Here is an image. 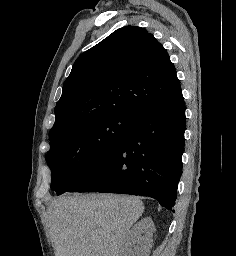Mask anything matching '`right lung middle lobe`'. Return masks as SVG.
Wrapping results in <instances>:
<instances>
[{
	"label": "right lung middle lobe",
	"mask_w": 236,
	"mask_h": 256,
	"mask_svg": "<svg viewBox=\"0 0 236 256\" xmlns=\"http://www.w3.org/2000/svg\"><path fill=\"white\" fill-rule=\"evenodd\" d=\"M137 119L112 115L70 125L51 135L47 163L51 189L60 195L111 153Z\"/></svg>",
	"instance_id": "obj_1"
}]
</instances>
